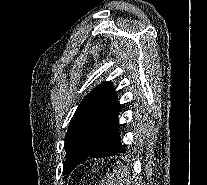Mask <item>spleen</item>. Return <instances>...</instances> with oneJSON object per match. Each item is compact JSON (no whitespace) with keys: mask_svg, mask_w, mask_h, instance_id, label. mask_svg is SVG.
Wrapping results in <instances>:
<instances>
[{"mask_svg":"<svg viewBox=\"0 0 207 185\" xmlns=\"http://www.w3.org/2000/svg\"><path fill=\"white\" fill-rule=\"evenodd\" d=\"M128 171V162L126 158H121L117 170H109V174H106L104 185H126V183H133L132 172Z\"/></svg>","mask_w":207,"mask_h":185,"instance_id":"spleen-1","label":"spleen"}]
</instances>
